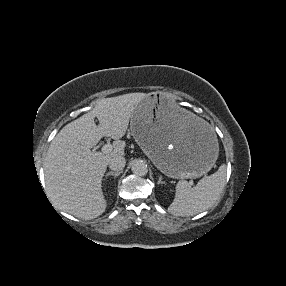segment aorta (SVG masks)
Segmentation results:
<instances>
[{
	"instance_id": "obj_1",
	"label": "aorta",
	"mask_w": 286,
	"mask_h": 286,
	"mask_svg": "<svg viewBox=\"0 0 286 286\" xmlns=\"http://www.w3.org/2000/svg\"><path fill=\"white\" fill-rule=\"evenodd\" d=\"M131 170L137 176H145L148 173L147 164L142 160H133Z\"/></svg>"
}]
</instances>
